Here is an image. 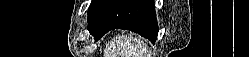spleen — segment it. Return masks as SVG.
<instances>
[{
    "mask_svg": "<svg viewBox=\"0 0 249 57\" xmlns=\"http://www.w3.org/2000/svg\"><path fill=\"white\" fill-rule=\"evenodd\" d=\"M120 44L118 50L107 52L105 57H150L147 51V45L139 38L129 36L119 37Z\"/></svg>",
    "mask_w": 249,
    "mask_h": 57,
    "instance_id": "spleen-1",
    "label": "spleen"
}]
</instances>
